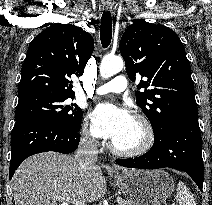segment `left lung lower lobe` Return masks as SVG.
<instances>
[{"label":"left lung lower lobe","mask_w":212,"mask_h":205,"mask_svg":"<svg viewBox=\"0 0 212 205\" xmlns=\"http://www.w3.org/2000/svg\"><path fill=\"white\" fill-rule=\"evenodd\" d=\"M202 139L198 112L177 116L161 138H154L152 148L144 155L132 159H116V163L130 168H174L186 172L202 191L203 159Z\"/></svg>","instance_id":"1"}]
</instances>
